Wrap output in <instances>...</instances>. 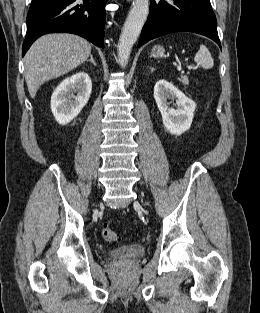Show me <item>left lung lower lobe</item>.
Here are the masks:
<instances>
[{
  "instance_id": "left-lung-lower-lobe-1",
  "label": "left lung lower lobe",
  "mask_w": 260,
  "mask_h": 313,
  "mask_svg": "<svg viewBox=\"0 0 260 313\" xmlns=\"http://www.w3.org/2000/svg\"><path fill=\"white\" fill-rule=\"evenodd\" d=\"M178 31L207 36L221 47L217 20L209 0H151L138 47L151 39Z\"/></svg>"
}]
</instances>
